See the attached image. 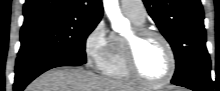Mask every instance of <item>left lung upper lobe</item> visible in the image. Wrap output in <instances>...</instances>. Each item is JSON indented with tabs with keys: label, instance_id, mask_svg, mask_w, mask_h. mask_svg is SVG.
<instances>
[{
	"label": "left lung upper lobe",
	"instance_id": "5c2ea615",
	"mask_svg": "<svg viewBox=\"0 0 220 91\" xmlns=\"http://www.w3.org/2000/svg\"><path fill=\"white\" fill-rule=\"evenodd\" d=\"M151 18L170 43L176 70L172 81L208 69L204 13L200 0H143Z\"/></svg>",
	"mask_w": 220,
	"mask_h": 91
}]
</instances>
